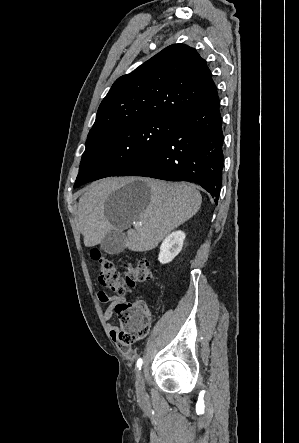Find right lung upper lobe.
Here are the masks:
<instances>
[{
	"instance_id": "cb5924a9",
	"label": "right lung upper lobe",
	"mask_w": 299,
	"mask_h": 443,
	"mask_svg": "<svg viewBox=\"0 0 299 443\" xmlns=\"http://www.w3.org/2000/svg\"><path fill=\"white\" fill-rule=\"evenodd\" d=\"M215 89L211 72L195 49L170 45L115 81L88 137L140 119L174 118Z\"/></svg>"
}]
</instances>
